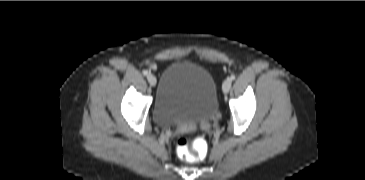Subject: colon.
<instances>
[{
  "mask_svg": "<svg viewBox=\"0 0 365 180\" xmlns=\"http://www.w3.org/2000/svg\"><path fill=\"white\" fill-rule=\"evenodd\" d=\"M176 151L187 162H203L208 154V145L200 137L192 141L186 135H181L176 141Z\"/></svg>",
  "mask_w": 365,
  "mask_h": 180,
  "instance_id": "obj_1",
  "label": "colon"
}]
</instances>
